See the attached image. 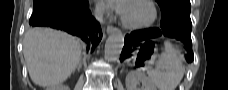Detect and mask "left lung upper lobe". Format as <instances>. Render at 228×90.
<instances>
[{
    "label": "left lung upper lobe",
    "mask_w": 228,
    "mask_h": 90,
    "mask_svg": "<svg viewBox=\"0 0 228 90\" xmlns=\"http://www.w3.org/2000/svg\"><path fill=\"white\" fill-rule=\"evenodd\" d=\"M162 12V20L191 25L190 0H156ZM182 18L183 20H180Z\"/></svg>",
    "instance_id": "obj_1"
}]
</instances>
